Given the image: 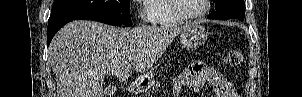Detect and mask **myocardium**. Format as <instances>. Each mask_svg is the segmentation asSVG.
Here are the masks:
<instances>
[{
  "label": "myocardium",
  "instance_id": "obj_1",
  "mask_svg": "<svg viewBox=\"0 0 302 97\" xmlns=\"http://www.w3.org/2000/svg\"><path fill=\"white\" fill-rule=\"evenodd\" d=\"M204 2V7L203 9L196 13V14H193V15H187V14H184L180 8H179V5H178V0H171L170 4H171V9L172 11L175 13V15L182 21H193V20H196V19H199L203 16H205L209 9H210V0H203Z\"/></svg>",
  "mask_w": 302,
  "mask_h": 97
}]
</instances>
